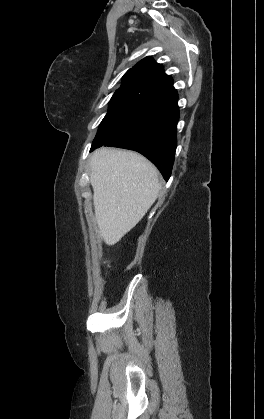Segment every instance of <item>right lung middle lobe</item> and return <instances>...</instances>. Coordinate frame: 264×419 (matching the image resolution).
<instances>
[{
	"label": "right lung middle lobe",
	"instance_id": "1",
	"mask_svg": "<svg viewBox=\"0 0 264 419\" xmlns=\"http://www.w3.org/2000/svg\"><path fill=\"white\" fill-rule=\"evenodd\" d=\"M148 95L128 88H119L110 100V108L102 120L92 147L103 145L121 131L137 114Z\"/></svg>",
	"mask_w": 264,
	"mask_h": 419
}]
</instances>
